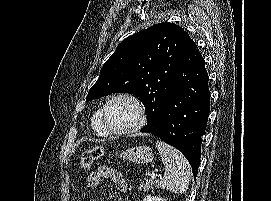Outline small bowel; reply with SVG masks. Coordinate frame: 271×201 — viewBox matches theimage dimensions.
<instances>
[{"label": "small bowel", "mask_w": 271, "mask_h": 201, "mask_svg": "<svg viewBox=\"0 0 271 201\" xmlns=\"http://www.w3.org/2000/svg\"><path fill=\"white\" fill-rule=\"evenodd\" d=\"M104 179H110L119 192H126L128 190V183L124 176L117 170L110 167H98L93 171L86 182L88 188H96L100 185L101 181Z\"/></svg>", "instance_id": "1"}]
</instances>
